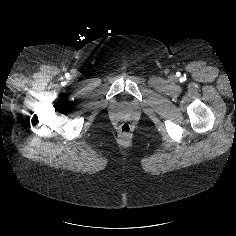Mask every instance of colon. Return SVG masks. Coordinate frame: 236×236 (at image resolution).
<instances>
[{"label":"colon","instance_id":"5ec220e1","mask_svg":"<svg viewBox=\"0 0 236 236\" xmlns=\"http://www.w3.org/2000/svg\"><path fill=\"white\" fill-rule=\"evenodd\" d=\"M132 131V126L129 122H121L119 125V132L123 136H128Z\"/></svg>","mask_w":236,"mask_h":236}]
</instances>
